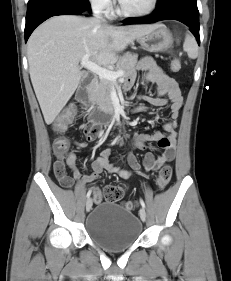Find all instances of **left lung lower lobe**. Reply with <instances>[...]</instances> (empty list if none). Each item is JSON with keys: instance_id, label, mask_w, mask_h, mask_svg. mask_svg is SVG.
<instances>
[{"instance_id": "1", "label": "left lung lower lobe", "mask_w": 231, "mask_h": 281, "mask_svg": "<svg viewBox=\"0 0 231 281\" xmlns=\"http://www.w3.org/2000/svg\"><path fill=\"white\" fill-rule=\"evenodd\" d=\"M173 19L186 24L200 40L199 11L197 0H160L158 8L146 18H128L124 25L154 23L161 20Z\"/></svg>"}]
</instances>
